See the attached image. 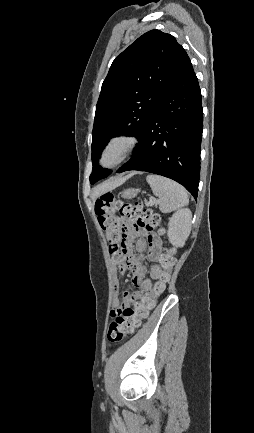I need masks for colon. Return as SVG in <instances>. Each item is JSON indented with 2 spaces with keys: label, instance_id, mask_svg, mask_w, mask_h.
<instances>
[{
  "label": "colon",
  "instance_id": "obj_1",
  "mask_svg": "<svg viewBox=\"0 0 254 433\" xmlns=\"http://www.w3.org/2000/svg\"><path fill=\"white\" fill-rule=\"evenodd\" d=\"M99 224L104 231L109 252L113 258H120L126 254L129 228L152 229L159 227L161 218L150 209L139 203L117 200L110 192L103 193L95 203ZM119 211L120 217L114 215ZM163 230L160 229V232ZM159 261L162 271L152 290L142 295L140 301L132 308L126 303L112 313V320L108 326L107 339L110 344L124 341L148 316L149 310L154 308L156 299L164 292L169 282L176 262L175 250L166 249L160 254Z\"/></svg>",
  "mask_w": 254,
  "mask_h": 433
}]
</instances>
